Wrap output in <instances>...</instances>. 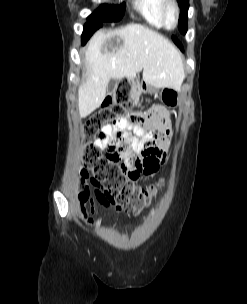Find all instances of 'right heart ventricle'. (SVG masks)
Masks as SVG:
<instances>
[{
  "instance_id": "right-heart-ventricle-1",
  "label": "right heart ventricle",
  "mask_w": 247,
  "mask_h": 304,
  "mask_svg": "<svg viewBox=\"0 0 247 304\" xmlns=\"http://www.w3.org/2000/svg\"><path fill=\"white\" fill-rule=\"evenodd\" d=\"M164 0H136L135 8L144 20L154 28H163L161 9Z\"/></svg>"
}]
</instances>
